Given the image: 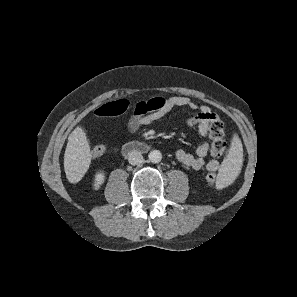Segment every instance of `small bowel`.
<instances>
[{
	"instance_id": "small-bowel-1",
	"label": "small bowel",
	"mask_w": 297,
	"mask_h": 297,
	"mask_svg": "<svg viewBox=\"0 0 297 297\" xmlns=\"http://www.w3.org/2000/svg\"><path fill=\"white\" fill-rule=\"evenodd\" d=\"M145 102L148 105V110L144 114H134L130 118L128 122L130 132L134 133L142 125H149L157 121L175 107H186L196 111V113L188 119V126L196 128L202 137L210 135V122L215 114L208 106H199L187 96H170L167 98L153 97ZM208 151L209 144L203 142L196 148L195 154L188 153L182 149L177 150L176 158L181 164L193 170L206 169L209 172H216L220 169L221 163L215 159L205 161Z\"/></svg>"
}]
</instances>
